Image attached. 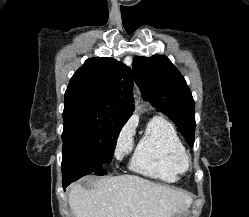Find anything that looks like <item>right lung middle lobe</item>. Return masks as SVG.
<instances>
[{"instance_id":"obj_1","label":"right lung middle lobe","mask_w":249,"mask_h":217,"mask_svg":"<svg viewBox=\"0 0 249 217\" xmlns=\"http://www.w3.org/2000/svg\"><path fill=\"white\" fill-rule=\"evenodd\" d=\"M63 150L87 155L98 166L110 163L126 117L84 101H65Z\"/></svg>"}]
</instances>
